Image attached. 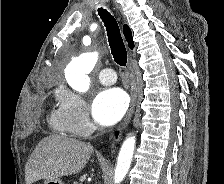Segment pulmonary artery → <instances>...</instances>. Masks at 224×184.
I'll list each match as a JSON object with an SVG mask.
<instances>
[{"instance_id": "e3ab8cb5", "label": "pulmonary artery", "mask_w": 224, "mask_h": 184, "mask_svg": "<svg viewBox=\"0 0 224 184\" xmlns=\"http://www.w3.org/2000/svg\"><path fill=\"white\" fill-rule=\"evenodd\" d=\"M98 79L103 85H112L116 82V73L113 69L106 68L99 72Z\"/></svg>"}]
</instances>
